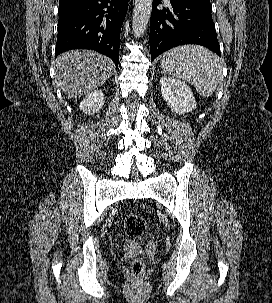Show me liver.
Segmentation results:
<instances>
[{
	"mask_svg": "<svg viewBox=\"0 0 272 303\" xmlns=\"http://www.w3.org/2000/svg\"><path fill=\"white\" fill-rule=\"evenodd\" d=\"M113 62L92 50H73L59 55L55 62V80L71 99L86 95L111 77Z\"/></svg>",
	"mask_w": 272,
	"mask_h": 303,
	"instance_id": "1",
	"label": "liver"
}]
</instances>
